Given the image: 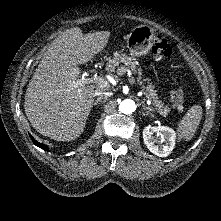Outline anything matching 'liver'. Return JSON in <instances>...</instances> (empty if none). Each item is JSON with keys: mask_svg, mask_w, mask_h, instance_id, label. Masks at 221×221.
Listing matches in <instances>:
<instances>
[{"mask_svg": "<svg viewBox=\"0 0 221 221\" xmlns=\"http://www.w3.org/2000/svg\"><path fill=\"white\" fill-rule=\"evenodd\" d=\"M109 31L83 35L80 28L66 30L48 48L38 65L26 94L24 109L40 134L58 141H71L84 131L93 106L94 86H75L77 67L104 51Z\"/></svg>", "mask_w": 221, "mask_h": 221, "instance_id": "1", "label": "liver"}]
</instances>
